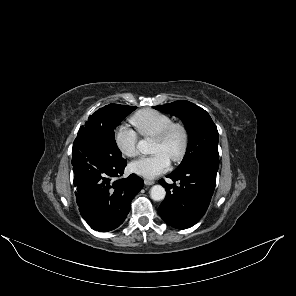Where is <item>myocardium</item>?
Wrapping results in <instances>:
<instances>
[{
	"instance_id": "obj_1",
	"label": "myocardium",
	"mask_w": 296,
	"mask_h": 296,
	"mask_svg": "<svg viewBox=\"0 0 296 296\" xmlns=\"http://www.w3.org/2000/svg\"><path fill=\"white\" fill-rule=\"evenodd\" d=\"M174 133H178L180 135V145L177 152L172 156L171 160L173 162H179L186 153L189 141L188 131L182 123L172 122L155 137V140L166 144Z\"/></svg>"
}]
</instances>
